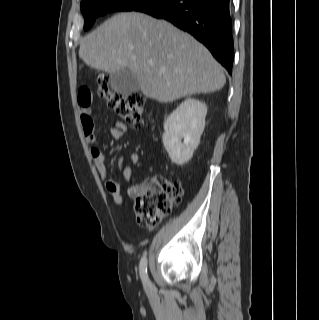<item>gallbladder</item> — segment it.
Listing matches in <instances>:
<instances>
[{
	"instance_id": "gallbladder-1",
	"label": "gallbladder",
	"mask_w": 319,
	"mask_h": 320,
	"mask_svg": "<svg viewBox=\"0 0 319 320\" xmlns=\"http://www.w3.org/2000/svg\"><path fill=\"white\" fill-rule=\"evenodd\" d=\"M109 84L112 90L122 95H130L140 90L137 78L128 69H122L110 74Z\"/></svg>"
}]
</instances>
